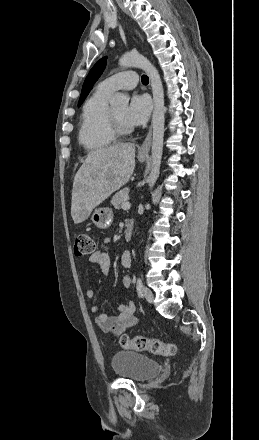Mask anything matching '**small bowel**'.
I'll return each mask as SVG.
<instances>
[{
	"label": "small bowel",
	"mask_w": 259,
	"mask_h": 440,
	"mask_svg": "<svg viewBox=\"0 0 259 440\" xmlns=\"http://www.w3.org/2000/svg\"><path fill=\"white\" fill-rule=\"evenodd\" d=\"M89 261L97 265L102 274H108L111 267L110 256L107 252L102 250L94 251ZM132 257L129 251H124L121 255V264L123 267L128 268L131 265ZM132 280L129 275H124L122 278V284L125 288L131 286ZM95 292L91 288L85 290V296L88 299H92ZM91 312L96 315V323L100 329L106 333H112L115 337L119 338L123 335V332L139 321L135 316V304L133 301H127L118 307V313L115 315H108L107 313L100 312L98 305L91 306Z\"/></svg>",
	"instance_id": "obj_1"
}]
</instances>
